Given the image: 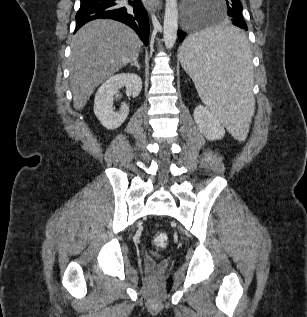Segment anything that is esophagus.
<instances>
[{
    "instance_id": "esophagus-1",
    "label": "esophagus",
    "mask_w": 307,
    "mask_h": 317,
    "mask_svg": "<svg viewBox=\"0 0 307 317\" xmlns=\"http://www.w3.org/2000/svg\"><path fill=\"white\" fill-rule=\"evenodd\" d=\"M147 10H159L161 7V1L160 0H143Z\"/></svg>"
}]
</instances>
